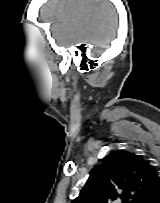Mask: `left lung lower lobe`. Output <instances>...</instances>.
<instances>
[{
	"instance_id": "obj_1",
	"label": "left lung lower lobe",
	"mask_w": 160,
	"mask_h": 203,
	"mask_svg": "<svg viewBox=\"0 0 160 203\" xmlns=\"http://www.w3.org/2000/svg\"><path fill=\"white\" fill-rule=\"evenodd\" d=\"M150 203H160V185L157 188V191Z\"/></svg>"
}]
</instances>
